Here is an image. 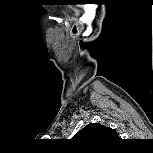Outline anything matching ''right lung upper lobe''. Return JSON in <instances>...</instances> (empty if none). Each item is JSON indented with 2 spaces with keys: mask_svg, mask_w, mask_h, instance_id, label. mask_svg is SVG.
Instances as JSON below:
<instances>
[{
  "mask_svg": "<svg viewBox=\"0 0 153 153\" xmlns=\"http://www.w3.org/2000/svg\"><path fill=\"white\" fill-rule=\"evenodd\" d=\"M119 139L117 133L109 127L97 123H90L77 132L73 137L77 143L94 145Z\"/></svg>",
  "mask_w": 153,
  "mask_h": 153,
  "instance_id": "cb5924a9",
  "label": "right lung upper lobe"
}]
</instances>
